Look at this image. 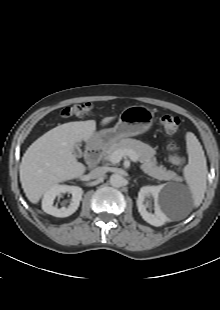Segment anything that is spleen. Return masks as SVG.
Segmentation results:
<instances>
[{"label": "spleen", "mask_w": 220, "mask_h": 310, "mask_svg": "<svg viewBox=\"0 0 220 310\" xmlns=\"http://www.w3.org/2000/svg\"><path fill=\"white\" fill-rule=\"evenodd\" d=\"M188 164L183 169L184 178L190 188L193 206L198 207L204 198L207 180L206 158L202 146L192 132L186 134Z\"/></svg>", "instance_id": "1"}]
</instances>
